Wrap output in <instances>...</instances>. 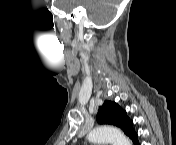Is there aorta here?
I'll return each instance as SVG.
<instances>
[{"mask_svg":"<svg viewBox=\"0 0 176 145\" xmlns=\"http://www.w3.org/2000/svg\"><path fill=\"white\" fill-rule=\"evenodd\" d=\"M87 138L94 144L131 145L130 140L120 130L108 126L94 128Z\"/></svg>","mask_w":176,"mask_h":145,"instance_id":"1","label":"aorta"}]
</instances>
